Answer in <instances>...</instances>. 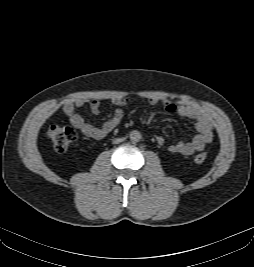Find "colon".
Wrapping results in <instances>:
<instances>
[{
  "label": "colon",
  "instance_id": "obj_1",
  "mask_svg": "<svg viewBox=\"0 0 254 267\" xmlns=\"http://www.w3.org/2000/svg\"><path fill=\"white\" fill-rule=\"evenodd\" d=\"M47 134L58 153H65L76 139V133L71 127L58 124L50 125L47 128ZM206 158L207 155L205 153H199L195 156V162L203 163Z\"/></svg>",
  "mask_w": 254,
  "mask_h": 267
}]
</instances>
